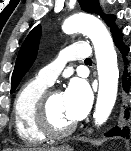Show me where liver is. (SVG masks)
<instances>
[{"mask_svg":"<svg viewBox=\"0 0 131 151\" xmlns=\"http://www.w3.org/2000/svg\"><path fill=\"white\" fill-rule=\"evenodd\" d=\"M58 148H50V149H47V148H37V149H29V151H57Z\"/></svg>","mask_w":131,"mask_h":151,"instance_id":"6515ba94","label":"liver"}]
</instances>
